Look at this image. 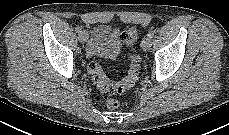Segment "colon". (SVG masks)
Returning a JSON list of instances; mask_svg holds the SVG:
<instances>
[{"label": "colon", "mask_w": 229, "mask_h": 135, "mask_svg": "<svg viewBox=\"0 0 229 135\" xmlns=\"http://www.w3.org/2000/svg\"><path fill=\"white\" fill-rule=\"evenodd\" d=\"M121 39L126 48L130 51L129 69L122 80L118 82L110 81L106 77L100 64L96 61H91L88 64V72L91 75L93 82L102 93L108 96L125 92V90L131 87L138 78L140 57L134 53L137 30L133 27L125 29L121 34ZM106 106L109 109H116L119 107V102L116 99L109 98L106 101Z\"/></svg>", "instance_id": "1"}]
</instances>
